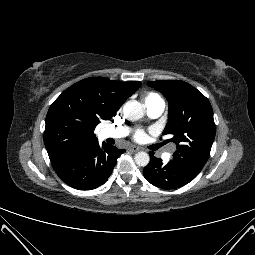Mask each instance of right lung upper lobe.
Instances as JSON below:
<instances>
[{"instance_id":"obj_1","label":"right lung upper lobe","mask_w":255,"mask_h":255,"mask_svg":"<svg viewBox=\"0 0 255 255\" xmlns=\"http://www.w3.org/2000/svg\"><path fill=\"white\" fill-rule=\"evenodd\" d=\"M140 84L90 77L67 88L46 116L44 143L50 160L98 143L95 127L101 120H110Z\"/></svg>"}]
</instances>
